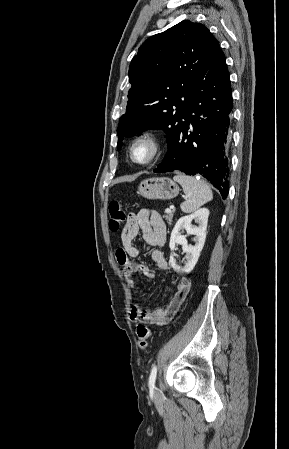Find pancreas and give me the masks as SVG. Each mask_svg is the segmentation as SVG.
Returning a JSON list of instances; mask_svg holds the SVG:
<instances>
[{"instance_id":"cf45deb5","label":"pancreas","mask_w":289,"mask_h":449,"mask_svg":"<svg viewBox=\"0 0 289 449\" xmlns=\"http://www.w3.org/2000/svg\"><path fill=\"white\" fill-rule=\"evenodd\" d=\"M164 218L166 219L168 225H171L174 218V211H171L170 213L164 215Z\"/></svg>"}]
</instances>
